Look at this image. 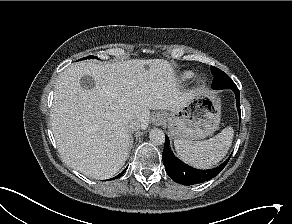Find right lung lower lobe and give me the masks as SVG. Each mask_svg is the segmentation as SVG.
<instances>
[{
	"instance_id": "1",
	"label": "right lung lower lobe",
	"mask_w": 292,
	"mask_h": 224,
	"mask_svg": "<svg viewBox=\"0 0 292 224\" xmlns=\"http://www.w3.org/2000/svg\"><path fill=\"white\" fill-rule=\"evenodd\" d=\"M126 170V169H125ZM125 170H123L119 175H117L116 177H113V178H111V179H116V178H119V177H121L124 173H125ZM110 179V180H111Z\"/></svg>"
}]
</instances>
